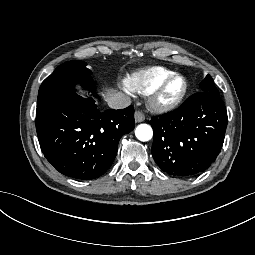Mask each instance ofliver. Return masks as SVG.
I'll use <instances>...</instances> for the list:
<instances>
[{"label": "liver", "mask_w": 255, "mask_h": 255, "mask_svg": "<svg viewBox=\"0 0 255 255\" xmlns=\"http://www.w3.org/2000/svg\"><path fill=\"white\" fill-rule=\"evenodd\" d=\"M113 92H114V90H113V89H111V90H108V91H107V94H106V96H108V95L112 94Z\"/></svg>", "instance_id": "obj_1"}]
</instances>
